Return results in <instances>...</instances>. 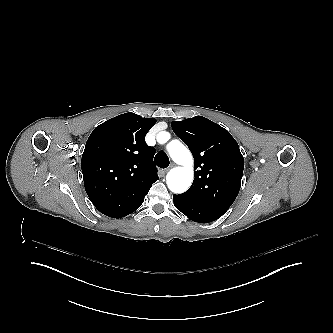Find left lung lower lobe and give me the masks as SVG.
I'll list each match as a JSON object with an SVG mask.
<instances>
[{
  "mask_svg": "<svg viewBox=\"0 0 333 333\" xmlns=\"http://www.w3.org/2000/svg\"><path fill=\"white\" fill-rule=\"evenodd\" d=\"M175 207L189 219L198 223H208L220 218L227 209L205 206L183 198L181 195L173 196Z\"/></svg>",
  "mask_w": 333,
  "mask_h": 333,
  "instance_id": "left-lung-lower-lobe-1",
  "label": "left lung lower lobe"
}]
</instances>
